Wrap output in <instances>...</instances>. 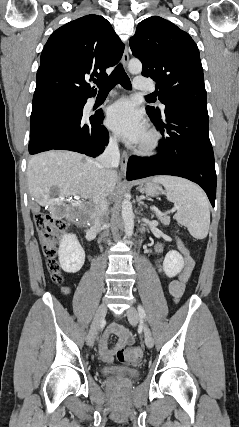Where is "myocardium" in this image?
I'll return each mask as SVG.
<instances>
[{
	"mask_svg": "<svg viewBox=\"0 0 239 427\" xmlns=\"http://www.w3.org/2000/svg\"><path fill=\"white\" fill-rule=\"evenodd\" d=\"M161 135L153 128L146 130L144 137L138 142L136 151L143 155L154 154L160 146Z\"/></svg>",
	"mask_w": 239,
	"mask_h": 427,
	"instance_id": "myocardium-1",
	"label": "myocardium"
}]
</instances>
